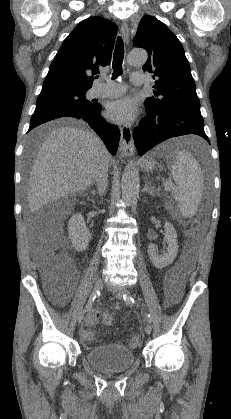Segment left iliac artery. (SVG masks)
I'll use <instances>...</instances> for the list:
<instances>
[{"instance_id": "1", "label": "left iliac artery", "mask_w": 231, "mask_h": 419, "mask_svg": "<svg viewBox=\"0 0 231 419\" xmlns=\"http://www.w3.org/2000/svg\"><path fill=\"white\" fill-rule=\"evenodd\" d=\"M123 298H124L125 302L129 305H133L135 303V300L133 299V297L129 293H125L123 295ZM147 322L148 323L152 322V317L150 316V314L147 315Z\"/></svg>"}]
</instances>
